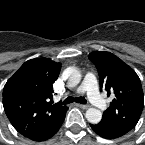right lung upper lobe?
Listing matches in <instances>:
<instances>
[{
  "instance_id": "cb5924a9",
  "label": "right lung upper lobe",
  "mask_w": 145,
  "mask_h": 145,
  "mask_svg": "<svg viewBox=\"0 0 145 145\" xmlns=\"http://www.w3.org/2000/svg\"><path fill=\"white\" fill-rule=\"evenodd\" d=\"M61 64L48 58L26 61L7 81L3 89V106L13 127L22 135L45 128L67 109L53 103L52 85Z\"/></svg>"
}]
</instances>
